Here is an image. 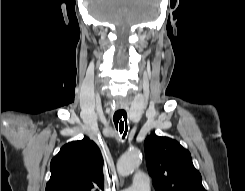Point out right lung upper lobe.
<instances>
[{
    "label": "right lung upper lobe",
    "mask_w": 245,
    "mask_h": 191,
    "mask_svg": "<svg viewBox=\"0 0 245 191\" xmlns=\"http://www.w3.org/2000/svg\"><path fill=\"white\" fill-rule=\"evenodd\" d=\"M102 156L88 138L64 145L50 164L46 191L103 190Z\"/></svg>",
    "instance_id": "1"
}]
</instances>
